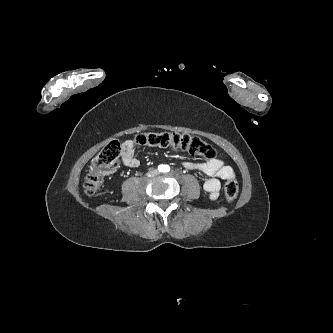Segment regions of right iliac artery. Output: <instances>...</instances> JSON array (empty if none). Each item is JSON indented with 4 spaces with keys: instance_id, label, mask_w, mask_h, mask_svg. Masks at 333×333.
I'll list each match as a JSON object with an SVG mask.
<instances>
[{
    "instance_id": "82829eb1",
    "label": "right iliac artery",
    "mask_w": 333,
    "mask_h": 333,
    "mask_svg": "<svg viewBox=\"0 0 333 333\" xmlns=\"http://www.w3.org/2000/svg\"><path fill=\"white\" fill-rule=\"evenodd\" d=\"M158 170H159L160 172H163V171H164V166H163V165H159V166H158Z\"/></svg>"
}]
</instances>
